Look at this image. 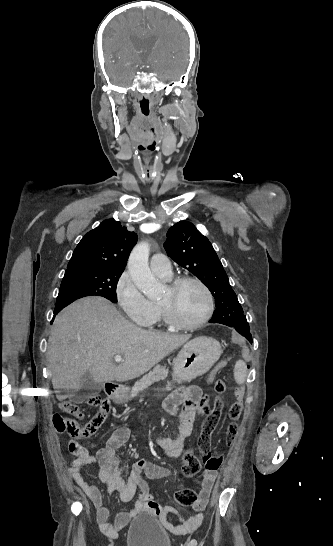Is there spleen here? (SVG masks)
<instances>
[{
  "label": "spleen",
  "mask_w": 333,
  "mask_h": 546,
  "mask_svg": "<svg viewBox=\"0 0 333 546\" xmlns=\"http://www.w3.org/2000/svg\"><path fill=\"white\" fill-rule=\"evenodd\" d=\"M234 378L238 384H243L247 378V365L243 360L236 362L234 367Z\"/></svg>",
  "instance_id": "spleen-1"
}]
</instances>
